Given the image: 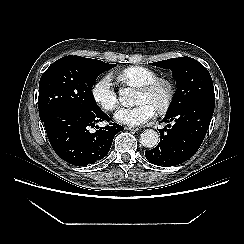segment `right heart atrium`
I'll use <instances>...</instances> for the list:
<instances>
[{"instance_id":"right-heart-atrium-1","label":"right heart atrium","mask_w":244,"mask_h":244,"mask_svg":"<svg viewBox=\"0 0 244 244\" xmlns=\"http://www.w3.org/2000/svg\"><path fill=\"white\" fill-rule=\"evenodd\" d=\"M94 101L104 110L112 111L118 104V96L109 76L99 79L91 90Z\"/></svg>"}]
</instances>
